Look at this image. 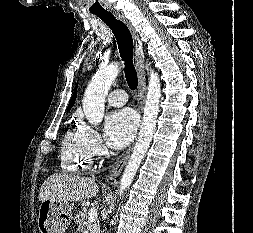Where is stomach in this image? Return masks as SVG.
<instances>
[{
  "instance_id": "stomach-1",
  "label": "stomach",
  "mask_w": 253,
  "mask_h": 233,
  "mask_svg": "<svg viewBox=\"0 0 253 233\" xmlns=\"http://www.w3.org/2000/svg\"><path fill=\"white\" fill-rule=\"evenodd\" d=\"M71 211L68 202L51 199L42 201L38 215L40 233H64L71 221Z\"/></svg>"
}]
</instances>
